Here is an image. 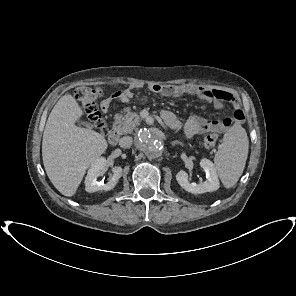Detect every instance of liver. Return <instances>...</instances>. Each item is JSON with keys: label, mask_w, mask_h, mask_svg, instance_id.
Returning a JSON list of instances; mask_svg holds the SVG:
<instances>
[{"label": "liver", "mask_w": 296, "mask_h": 296, "mask_svg": "<svg viewBox=\"0 0 296 296\" xmlns=\"http://www.w3.org/2000/svg\"><path fill=\"white\" fill-rule=\"evenodd\" d=\"M83 111L70 94L62 96L52 109L43 133L42 158L54 187L73 196L88 167L107 149L105 137L75 125Z\"/></svg>", "instance_id": "6515ba94"}]
</instances>
